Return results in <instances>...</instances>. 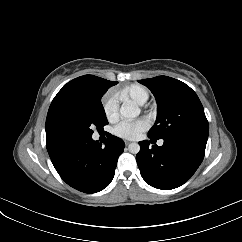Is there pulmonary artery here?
<instances>
[{
  "mask_svg": "<svg viewBox=\"0 0 242 242\" xmlns=\"http://www.w3.org/2000/svg\"><path fill=\"white\" fill-rule=\"evenodd\" d=\"M158 145H159V146H162V145H163V140H160V141L158 142Z\"/></svg>",
  "mask_w": 242,
  "mask_h": 242,
  "instance_id": "1",
  "label": "pulmonary artery"
}]
</instances>
